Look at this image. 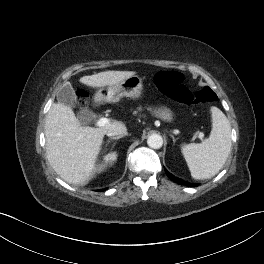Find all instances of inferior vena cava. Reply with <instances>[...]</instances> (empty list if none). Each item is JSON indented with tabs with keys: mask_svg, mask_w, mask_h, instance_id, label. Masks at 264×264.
<instances>
[{
	"mask_svg": "<svg viewBox=\"0 0 264 264\" xmlns=\"http://www.w3.org/2000/svg\"><path fill=\"white\" fill-rule=\"evenodd\" d=\"M126 134H127L126 129L111 130V131L107 132V136H109V137L126 135Z\"/></svg>",
	"mask_w": 264,
	"mask_h": 264,
	"instance_id": "inferior-vena-cava-1",
	"label": "inferior vena cava"
}]
</instances>
